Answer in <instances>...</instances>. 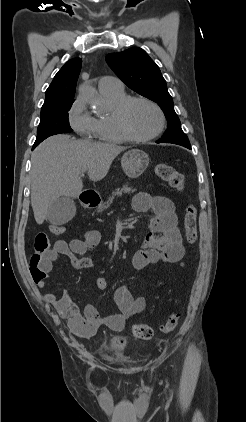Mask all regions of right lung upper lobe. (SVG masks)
<instances>
[{"label":"right lung upper lobe","instance_id":"1","mask_svg":"<svg viewBox=\"0 0 246 422\" xmlns=\"http://www.w3.org/2000/svg\"><path fill=\"white\" fill-rule=\"evenodd\" d=\"M81 63L82 60L80 58H73L63 65L46 90L43 106L52 105L61 101L74 100Z\"/></svg>","mask_w":246,"mask_h":422}]
</instances>
